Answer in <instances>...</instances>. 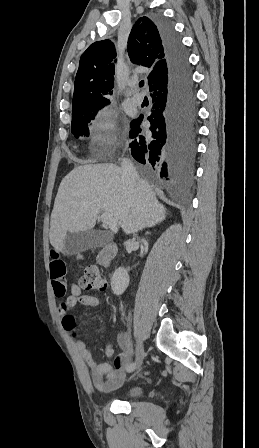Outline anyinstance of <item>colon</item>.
<instances>
[{
  "label": "colon",
  "instance_id": "5ec220e1",
  "mask_svg": "<svg viewBox=\"0 0 259 448\" xmlns=\"http://www.w3.org/2000/svg\"><path fill=\"white\" fill-rule=\"evenodd\" d=\"M79 287L84 290L103 292L106 290L107 281L98 268L89 267L79 279Z\"/></svg>",
  "mask_w": 259,
  "mask_h": 448
}]
</instances>
